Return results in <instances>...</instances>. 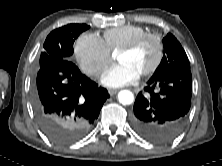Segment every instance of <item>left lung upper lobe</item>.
Masks as SVG:
<instances>
[{
    "mask_svg": "<svg viewBox=\"0 0 222 166\" xmlns=\"http://www.w3.org/2000/svg\"><path fill=\"white\" fill-rule=\"evenodd\" d=\"M164 55L153 75H161L177 69H190L188 57L172 34L168 33L163 38Z\"/></svg>",
    "mask_w": 222,
    "mask_h": 166,
    "instance_id": "5c2ea615",
    "label": "left lung upper lobe"
}]
</instances>
